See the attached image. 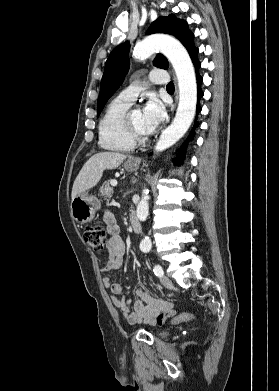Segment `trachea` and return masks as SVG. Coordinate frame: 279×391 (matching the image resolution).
I'll use <instances>...</instances> for the list:
<instances>
[{"label": "trachea", "instance_id": "3493384b", "mask_svg": "<svg viewBox=\"0 0 279 391\" xmlns=\"http://www.w3.org/2000/svg\"><path fill=\"white\" fill-rule=\"evenodd\" d=\"M167 89H173L174 90V84L173 82H169L168 85H167Z\"/></svg>", "mask_w": 279, "mask_h": 391}]
</instances>
